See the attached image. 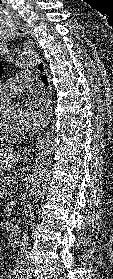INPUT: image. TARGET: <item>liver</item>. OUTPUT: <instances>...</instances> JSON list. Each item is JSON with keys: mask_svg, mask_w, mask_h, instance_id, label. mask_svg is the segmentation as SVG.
Instances as JSON below:
<instances>
[{"mask_svg": "<svg viewBox=\"0 0 113 279\" xmlns=\"http://www.w3.org/2000/svg\"><path fill=\"white\" fill-rule=\"evenodd\" d=\"M19 154L12 151H0V171L9 169L18 161Z\"/></svg>", "mask_w": 113, "mask_h": 279, "instance_id": "liver-1", "label": "liver"}]
</instances>
